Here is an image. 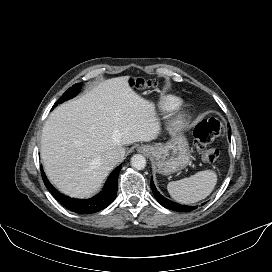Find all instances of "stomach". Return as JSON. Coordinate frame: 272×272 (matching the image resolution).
Returning a JSON list of instances; mask_svg holds the SVG:
<instances>
[{"mask_svg":"<svg viewBox=\"0 0 272 272\" xmlns=\"http://www.w3.org/2000/svg\"><path fill=\"white\" fill-rule=\"evenodd\" d=\"M151 155L155 159L157 171L164 175L177 172L190 162V150L185 136L180 132H173L165 144L149 146Z\"/></svg>","mask_w":272,"mask_h":272,"instance_id":"1","label":"stomach"}]
</instances>
